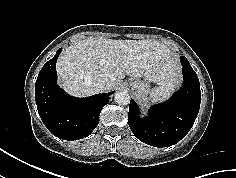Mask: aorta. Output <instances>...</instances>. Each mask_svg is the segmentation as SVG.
<instances>
[{
	"label": "aorta",
	"instance_id": "762f6f07",
	"mask_svg": "<svg viewBox=\"0 0 236 178\" xmlns=\"http://www.w3.org/2000/svg\"><path fill=\"white\" fill-rule=\"evenodd\" d=\"M115 102L118 105H127L130 102V96L127 91H118L114 97Z\"/></svg>",
	"mask_w": 236,
	"mask_h": 178
}]
</instances>
